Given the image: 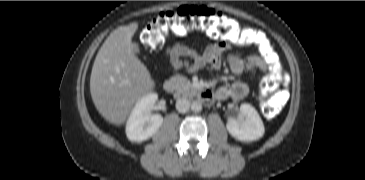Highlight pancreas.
Segmentation results:
<instances>
[{
  "label": "pancreas",
  "instance_id": "pancreas-1",
  "mask_svg": "<svg viewBox=\"0 0 365 180\" xmlns=\"http://www.w3.org/2000/svg\"><path fill=\"white\" fill-rule=\"evenodd\" d=\"M175 84L176 92L185 96H191L197 92V89L191 82L183 76L177 75L170 79Z\"/></svg>",
  "mask_w": 365,
  "mask_h": 180
}]
</instances>
